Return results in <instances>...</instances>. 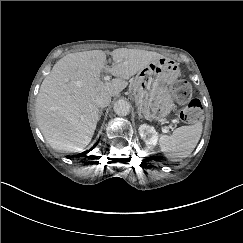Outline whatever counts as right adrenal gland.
Returning a JSON list of instances; mask_svg holds the SVG:
<instances>
[{
	"label": "right adrenal gland",
	"mask_w": 243,
	"mask_h": 243,
	"mask_svg": "<svg viewBox=\"0 0 243 243\" xmlns=\"http://www.w3.org/2000/svg\"><path fill=\"white\" fill-rule=\"evenodd\" d=\"M103 114V111H102V109L99 111V119H98V121L100 120V117H101V115Z\"/></svg>",
	"instance_id": "right-adrenal-gland-1"
}]
</instances>
